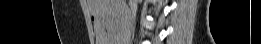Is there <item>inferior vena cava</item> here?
I'll return each mask as SVG.
<instances>
[{
    "label": "inferior vena cava",
    "instance_id": "1",
    "mask_svg": "<svg viewBox=\"0 0 261 44\" xmlns=\"http://www.w3.org/2000/svg\"><path fill=\"white\" fill-rule=\"evenodd\" d=\"M134 15H135V9L132 7L131 12H130V20H134Z\"/></svg>",
    "mask_w": 261,
    "mask_h": 44
}]
</instances>
